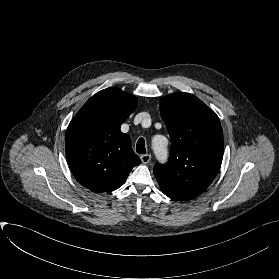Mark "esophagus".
<instances>
[{
    "label": "esophagus",
    "mask_w": 279,
    "mask_h": 279,
    "mask_svg": "<svg viewBox=\"0 0 279 279\" xmlns=\"http://www.w3.org/2000/svg\"><path fill=\"white\" fill-rule=\"evenodd\" d=\"M140 158H141V161L144 164H147L151 160V155L150 154H144V155H141Z\"/></svg>",
    "instance_id": "34e87169"
}]
</instances>
